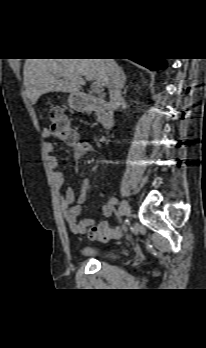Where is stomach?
<instances>
[{"label": "stomach", "mask_w": 206, "mask_h": 348, "mask_svg": "<svg viewBox=\"0 0 206 348\" xmlns=\"http://www.w3.org/2000/svg\"><path fill=\"white\" fill-rule=\"evenodd\" d=\"M68 102L70 107L75 110H82L85 104L78 94H71L68 98Z\"/></svg>", "instance_id": "1"}]
</instances>
